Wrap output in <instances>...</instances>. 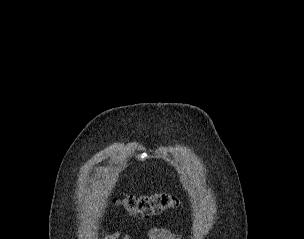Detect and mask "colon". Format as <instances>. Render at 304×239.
<instances>
[{
	"mask_svg": "<svg viewBox=\"0 0 304 239\" xmlns=\"http://www.w3.org/2000/svg\"><path fill=\"white\" fill-rule=\"evenodd\" d=\"M132 216L150 217L165 210L176 208L179 200L165 192H152L123 198L117 202Z\"/></svg>",
	"mask_w": 304,
	"mask_h": 239,
	"instance_id": "colon-1",
	"label": "colon"
}]
</instances>
